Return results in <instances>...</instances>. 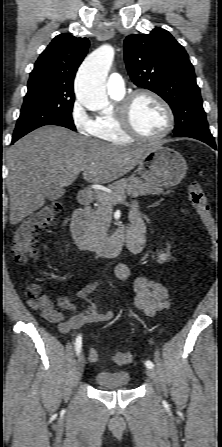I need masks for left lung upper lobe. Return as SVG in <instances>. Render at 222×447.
<instances>
[{"mask_svg": "<svg viewBox=\"0 0 222 447\" xmlns=\"http://www.w3.org/2000/svg\"><path fill=\"white\" fill-rule=\"evenodd\" d=\"M124 58L132 81L161 96L172 108L175 136L214 139L209 131L189 57L166 30L129 35L124 41Z\"/></svg>", "mask_w": 222, "mask_h": 447, "instance_id": "5c2ea615", "label": "left lung upper lobe"}]
</instances>
